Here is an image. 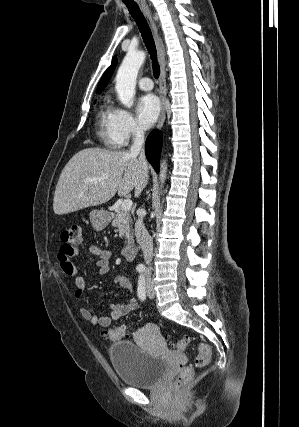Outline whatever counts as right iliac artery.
Segmentation results:
<instances>
[{
  "label": "right iliac artery",
  "mask_w": 299,
  "mask_h": 427,
  "mask_svg": "<svg viewBox=\"0 0 299 427\" xmlns=\"http://www.w3.org/2000/svg\"><path fill=\"white\" fill-rule=\"evenodd\" d=\"M137 271H138V272H143V271H144V268H143V267H137Z\"/></svg>",
  "instance_id": "82829eb1"
}]
</instances>
